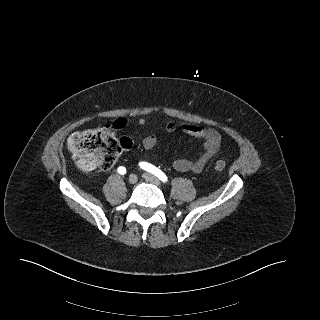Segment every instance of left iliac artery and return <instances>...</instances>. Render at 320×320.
<instances>
[{
    "label": "left iliac artery",
    "mask_w": 320,
    "mask_h": 320,
    "mask_svg": "<svg viewBox=\"0 0 320 320\" xmlns=\"http://www.w3.org/2000/svg\"><path fill=\"white\" fill-rule=\"evenodd\" d=\"M140 167L148 172H151L155 176H157L162 182H167L168 178L164 172H162L160 169L155 167L154 165L147 163V162H141L139 163Z\"/></svg>",
    "instance_id": "1"
}]
</instances>
